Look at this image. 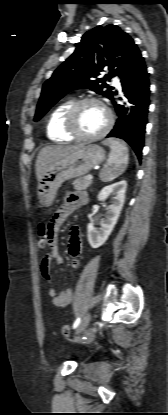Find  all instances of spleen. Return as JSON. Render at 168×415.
<instances>
[{"mask_svg":"<svg viewBox=\"0 0 168 415\" xmlns=\"http://www.w3.org/2000/svg\"><path fill=\"white\" fill-rule=\"evenodd\" d=\"M102 143L110 147V154L99 177L102 182H110L126 170L129 162L128 148L123 141L115 138H108Z\"/></svg>","mask_w":168,"mask_h":415,"instance_id":"spleen-1","label":"spleen"}]
</instances>
